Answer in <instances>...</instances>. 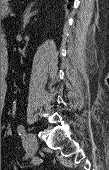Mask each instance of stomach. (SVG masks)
<instances>
[{
  "mask_svg": "<svg viewBox=\"0 0 109 170\" xmlns=\"http://www.w3.org/2000/svg\"><path fill=\"white\" fill-rule=\"evenodd\" d=\"M9 1L10 0H1V7L7 5Z\"/></svg>",
  "mask_w": 109,
  "mask_h": 170,
  "instance_id": "0dacf381",
  "label": "stomach"
}]
</instances>
